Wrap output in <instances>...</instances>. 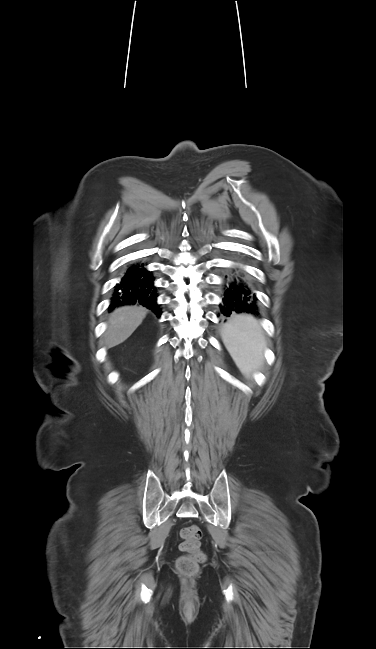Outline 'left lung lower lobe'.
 I'll use <instances>...</instances> for the list:
<instances>
[{
	"mask_svg": "<svg viewBox=\"0 0 376 649\" xmlns=\"http://www.w3.org/2000/svg\"><path fill=\"white\" fill-rule=\"evenodd\" d=\"M224 287L225 297L220 305L223 315L229 316L232 311L259 314L256 297L251 295L243 276L238 271L234 270L225 276Z\"/></svg>",
	"mask_w": 376,
	"mask_h": 649,
	"instance_id": "obj_1",
	"label": "left lung lower lobe"
}]
</instances>
